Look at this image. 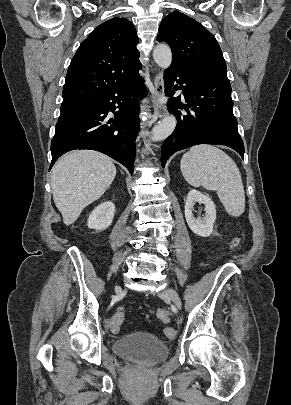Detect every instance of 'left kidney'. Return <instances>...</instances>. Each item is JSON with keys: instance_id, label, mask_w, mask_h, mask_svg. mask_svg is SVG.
Returning a JSON list of instances; mask_svg holds the SVG:
<instances>
[{"instance_id": "5707ae66", "label": "left kidney", "mask_w": 291, "mask_h": 405, "mask_svg": "<svg viewBox=\"0 0 291 405\" xmlns=\"http://www.w3.org/2000/svg\"><path fill=\"white\" fill-rule=\"evenodd\" d=\"M202 203L205 205V216L203 218H194L193 207L195 203ZM185 218L189 228L198 236L208 237L213 232L214 222L216 220V209L213 201L199 192L192 189L188 193L185 203Z\"/></svg>"}]
</instances>
